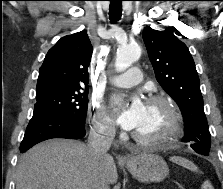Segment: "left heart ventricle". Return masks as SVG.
Here are the masks:
<instances>
[{
    "label": "left heart ventricle",
    "mask_w": 223,
    "mask_h": 189,
    "mask_svg": "<svg viewBox=\"0 0 223 189\" xmlns=\"http://www.w3.org/2000/svg\"><path fill=\"white\" fill-rule=\"evenodd\" d=\"M168 121V114L161 104H145L144 116L135 129V132L142 134H154L164 128Z\"/></svg>",
    "instance_id": "b2bd125f"
}]
</instances>
